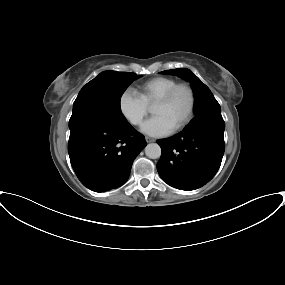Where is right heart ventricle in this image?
Returning a JSON list of instances; mask_svg holds the SVG:
<instances>
[{
	"label": "right heart ventricle",
	"mask_w": 285,
	"mask_h": 285,
	"mask_svg": "<svg viewBox=\"0 0 285 285\" xmlns=\"http://www.w3.org/2000/svg\"><path fill=\"white\" fill-rule=\"evenodd\" d=\"M178 81L172 77L158 76L138 87V95L148 107L154 104Z\"/></svg>",
	"instance_id": "obj_1"
}]
</instances>
